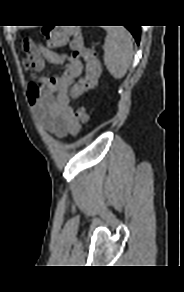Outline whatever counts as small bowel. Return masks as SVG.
I'll list each match as a JSON object with an SVG mask.
<instances>
[{
    "instance_id": "small-bowel-1",
    "label": "small bowel",
    "mask_w": 184,
    "mask_h": 292,
    "mask_svg": "<svg viewBox=\"0 0 184 292\" xmlns=\"http://www.w3.org/2000/svg\"><path fill=\"white\" fill-rule=\"evenodd\" d=\"M25 49L30 70L42 71L46 62L63 68L57 76L40 77L28 85V101L39 121L58 138L76 135L80 122L69 106L68 89L81 77L82 61L33 43L26 44Z\"/></svg>"
}]
</instances>
